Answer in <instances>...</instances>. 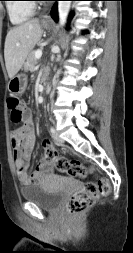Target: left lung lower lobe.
Returning <instances> with one entry per match:
<instances>
[{"instance_id": "obj_1", "label": "left lung lower lobe", "mask_w": 133, "mask_h": 253, "mask_svg": "<svg viewBox=\"0 0 133 253\" xmlns=\"http://www.w3.org/2000/svg\"><path fill=\"white\" fill-rule=\"evenodd\" d=\"M54 1H58V0H54ZM72 1H77V0H72ZM51 17L53 18L54 21L57 22V20H58V13H57L56 5H54L53 8H52V10H51Z\"/></svg>"}]
</instances>
